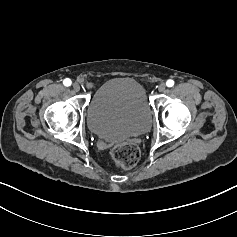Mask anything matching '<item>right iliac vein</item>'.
<instances>
[{
	"label": "right iliac vein",
	"instance_id": "1",
	"mask_svg": "<svg viewBox=\"0 0 237 237\" xmlns=\"http://www.w3.org/2000/svg\"><path fill=\"white\" fill-rule=\"evenodd\" d=\"M74 91L78 92L80 90V85L78 83L73 84Z\"/></svg>",
	"mask_w": 237,
	"mask_h": 237
}]
</instances>
